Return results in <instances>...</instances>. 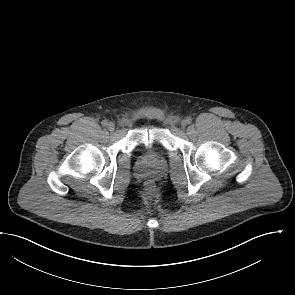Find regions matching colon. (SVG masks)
<instances>
[{"label":"colon","mask_w":295,"mask_h":295,"mask_svg":"<svg viewBox=\"0 0 295 295\" xmlns=\"http://www.w3.org/2000/svg\"><path fill=\"white\" fill-rule=\"evenodd\" d=\"M146 189L147 191L152 192L154 190V184L152 182H147Z\"/></svg>","instance_id":"5ec220e1"}]
</instances>
